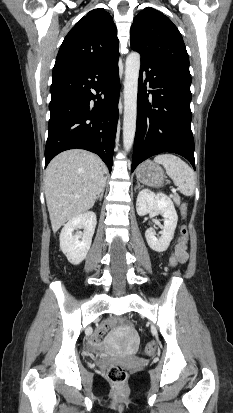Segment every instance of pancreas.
Here are the masks:
<instances>
[{"instance_id":"obj_1","label":"pancreas","mask_w":233,"mask_h":413,"mask_svg":"<svg viewBox=\"0 0 233 413\" xmlns=\"http://www.w3.org/2000/svg\"><path fill=\"white\" fill-rule=\"evenodd\" d=\"M173 200H174V202H175L177 205L180 204V197H179V196L174 195V196H173Z\"/></svg>"}]
</instances>
